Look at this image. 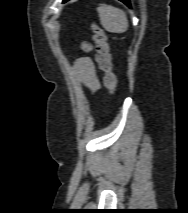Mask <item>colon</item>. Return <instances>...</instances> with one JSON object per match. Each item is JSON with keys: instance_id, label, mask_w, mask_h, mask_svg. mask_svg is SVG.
Returning a JSON list of instances; mask_svg holds the SVG:
<instances>
[{"instance_id": "obj_1", "label": "colon", "mask_w": 188, "mask_h": 213, "mask_svg": "<svg viewBox=\"0 0 188 213\" xmlns=\"http://www.w3.org/2000/svg\"><path fill=\"white\" fill-rule=\"evenodd\" d=\"M93 31V38L96 44V62L104 75L106 87L114 93L117 89V76L112 68L107 35L97 26L93 27Z\"/></svg>"}]
</instances>
